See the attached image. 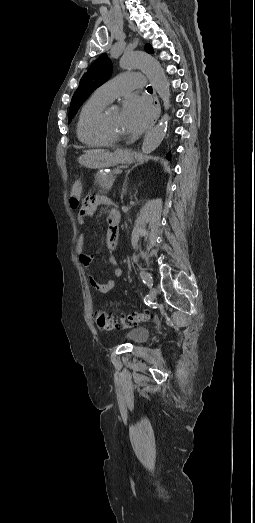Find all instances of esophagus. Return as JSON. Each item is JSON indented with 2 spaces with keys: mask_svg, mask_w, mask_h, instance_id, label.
Masks as SVG:
<instances>
[{
  "mask_svg": "<svg viewBox=\"0 0 255 523\" xmlns=\"http://www.w3.org/2000/svg\"><path fill=\"white\" fill-rule=\"evenodd\" d=\"M153 99H154V105H155V114H154V117H153V120H152V123L150 125V127L148 128L147 130V133L151 130V128L155 125V123L157 122L158 118H159V115L161 113V106H160V103H159V100H158V97L156 95V92H155V89L153 88Z\"/></svg>",
  "mask_w": 255,
  "mask_h": 523,
  "instance_id": "34e87169",
  "label": "esophagus"
}]
</instances>
